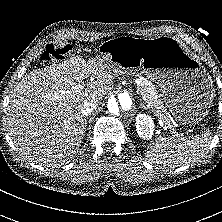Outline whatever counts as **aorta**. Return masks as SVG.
<instances>
[{
  "label": "aorta",
  "mask_w": 222,
  "mask_h": 222,
  "mask_svg": "<svg viewBox=\"0 0 222 222\" xmlns=\"http://www.w3.org/2000/svg\"><path fill=\"white\" fill-rule=\"evenodd\" d=\"M132 99L128 94H119L117 98L110 97L107 102V109L113 116L119 117L132 108Z\"/></svg>",
  "instance_id": "obj_1"
}]
</instances>
